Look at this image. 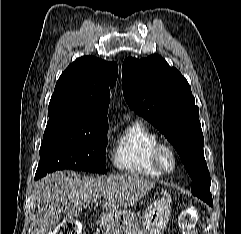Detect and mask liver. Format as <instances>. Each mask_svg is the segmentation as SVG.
Returning <instances> with one entry per match:
<instances>
[{
	"label": "liver",
	"mask_w": 241,
	"mask_h": 234,
	"mask_svg": "<svg viewBox=\"0 0 241 234\" xmlns=\"http://www.w3.org/2000/svg\"><path fill=\"white\" fill-rule=\"evenodd\" d=\"M155 187V182L136 174L108 177H73V172L59 171L47 175L36 184L35 198L39 223L34 234H53L60 225L61 214L102 207L110 214L135 205Z\"/></svg>",
	"instance_id": "obj_1"
}]
</instances>
